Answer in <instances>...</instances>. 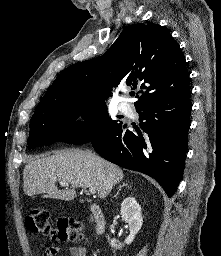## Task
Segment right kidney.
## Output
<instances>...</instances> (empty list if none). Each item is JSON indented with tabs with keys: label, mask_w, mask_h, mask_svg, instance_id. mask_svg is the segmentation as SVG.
Here are the masks:
<instances>
[{
	"label": "right kidney",
	"mask_w": 221,
	"mask_h": 256,
	"mask_svg": "<svg viewBox=\"0 0 221 256\" xmlns=\"http://www.w3.org/2000/svg\"><path fill=\"white\" fill-rule=\"evenodd\" d=\"M121 215L127 219L129 224L130 234L124 241L125 244L129 245L132 243L135 235L139 232L143 224L141 207L134 197H127L124 199L121 204ZM117 242L118 241L116 239H111V247L120 249L124 246V244H117Z\"/></svg>",
	"instance_id": "ca27d5eb"
}]
</instances>
